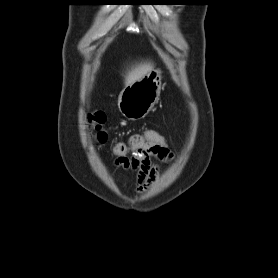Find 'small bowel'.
Here are the masks:
<instances>
[{"instance_id":"small-bowel-1","label":"small bowel","mask_w":278,"mask_h":278,"mask_svg":"<svg viewBox=\"0 0 278 278\" xmlns=\"http://www.w3.org/2000/svg\"><path fill=\"white\" fill-rule=\"evenodd\" d=\"M129 144L132 154L129 157L116 158L115 164L124 170L136 172L137 191L144 192L158 177L159 165L156 162L169 160L171 153L142 135L132 136Z\"/></svg>"}]
</instances>
